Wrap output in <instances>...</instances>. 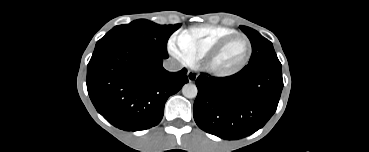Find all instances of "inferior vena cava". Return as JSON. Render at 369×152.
<instances>
[{
	"instance_id": "602c4592",
	"label": "inferior vena cava",
	"mask_w": 369,
	"mask_h": 152,
	"mask_svg": "<svg viewBox=\"0 0 369 152\" xmlns=\"http://www.w3.org/2000/svg\"><path fill=\"white\" fill-rule=\"evenodd\" d=\"M163 67L170 72H177L182 69V65L173 58H168L164 61Z\"/></svg>"
}]
</instances>
